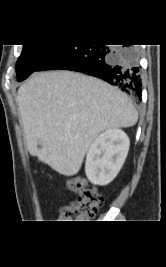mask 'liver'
<instances>
[{
  "instance_id": "liver-1",
  "label": "liver",
  "mask_w": 166,
  "mask_h": 267,
  "mask_svg": "<svg viewBox=\"0 0 166 267\" xmlns=\"http://www.w3.org/2000/svg\"><path fill=\"white\" fill-rule=\"evenodd\" d=\"M17 102L29 153L65 176L78 173L101 132L138 120L125 93L70 71L35 73L18 89Z\"/></svg>"
}]
</instances>
